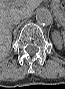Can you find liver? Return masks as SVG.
I'll list each match as a JSON object with an SVG mask.
<instances>
[{
	"mask_svg": "<svg viewBox=\"0 0 65 89\" xmlns=\"http://www.w3.org/2000/svg\"><path fill=\"white\" fill-rule=\"evenodd\" d=\"M41 3V0L0 1V57L7 56L12 42V21L20 16L27 17Z\"/></svg>",
	"mask_w": 65,
	"mask_h": 89,
	"instance_id": "liver-1",
	"label": "liver"
}]
</instances>
